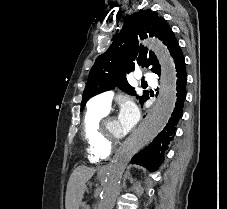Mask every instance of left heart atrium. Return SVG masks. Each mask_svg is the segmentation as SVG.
<instances>
[{"instance_id":"left-heart-atrium-1","label":"left heart atrium","mask_w":227,"mask_h":209,"mask_svg":"<svg viewBox=\"0 0 227 209\" xmlns=\"http://www.w3.org/2000/svg\"><path fill=\"white\" fill-rule=\"evenodd\" d=\"M139 116V109L133 101L128 99L121 103L118 122L126 132L134 128L139 120Z\"/></svg>"}]
</instances>
